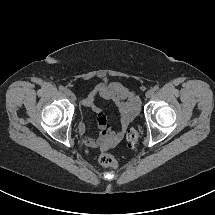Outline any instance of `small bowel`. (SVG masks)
Returning a JSON list of instances; mask_svg holds the SVG:
<instances>
[{"instance_id": "obj_1", "label": "small bowel", "mask_w": 215, "mask_h": 215, "mask_svg": "<svg viewBox=\"0 0 215 215\" xmlns=\"http://www.w3.org/2000/svg\"><path fill=\"white\" fill-rule=\"evenodd\" d=\"M97 97L114 103L119 109L121 124L118 130H107L106 115L95 103ZM83 104L96 114L99 133L96 136L86 135L87 124L81 122L78 134L83 137L87 147L105 150L115 146L122 139L127 126L140 109V98L119 82H101L83 100Z\"/></svg>"}]
</instances>
